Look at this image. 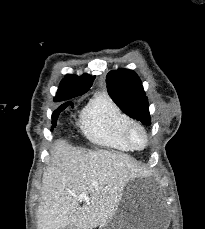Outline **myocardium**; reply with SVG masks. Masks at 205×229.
I'll return each instance as SVG.
<instances>
[{"label": "myocardium", "mask_w": 205, "mask_h": 229, "mask_svg": "<svg viewBox=\"0 0 205 229\" xmlns=\"http://www.w3.org/2000/svg\"><path fill=\"white\" fill-rule=\"evenodd\" d=\"M135 132H139L143 137V143L141 145H137L133 139ZM125 138L129 146L134 150H143L149 143V137L146 129L137 122H131L129 124L125 132Z\"/></svg>", "instance_id": "obj_1"}]
</instances>
